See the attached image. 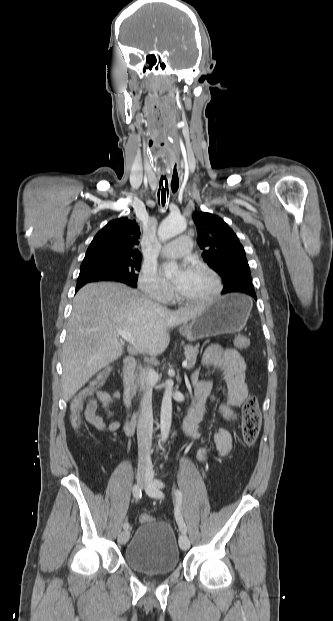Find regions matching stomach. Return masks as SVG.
<instances>
[{"label": "stomach", "instance_id": "obj_1", "mask_svg": "<svg viewBox=\"0 0 333 621\" xmlns=\"http://www.w3.org/2000/svg\"><path fill=\"white\" fill-rule=\"evenodd\" d=\"M252 308L251 299L243 294L225 295L206 304L202 312L190 322L191 331L187 337L196 341L241 330Z\"/></svg>", "mask_w": 333, "mask_h": 621}]
</instances>
